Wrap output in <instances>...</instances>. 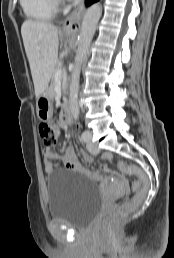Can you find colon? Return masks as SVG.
Segmentation results:
<instances>
[{
	"instance_id": "5ec220e1",
	"label": "colon",
	"mask_w": 174,
	"mask_h": 258,
	"mask_svg": "<svg viewBox=\"0 0 174 258\" xmlns=\"http://www.w3.org/2000/svg\"><path fill=\"white\" fill-rule=\"evenodd\" d=\"M61 132V125L55 121L43 122L39 126L40 136L47 147L57 144ZM119 169L125 174L136 177L133 183L136 194L103 219L101 230L107 237L113 236L117 232L126 215L138 207L148 192V177L143 170L127 161L119 162Z\"/></svg>"
}]
</instances>
